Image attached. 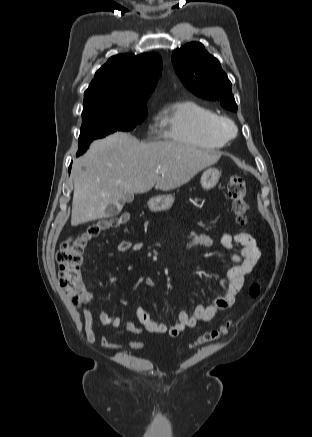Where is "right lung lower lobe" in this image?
Listing matches in <instances>:
<instances>
[{"label": "right lung lower lobe", "mask_w": 312, "mask_h": 437, "mask_svg": "<svg viewBox=\"0 0 312 437\" xmlns=\"http://www.w3.org/2000/svg\"><path fill=\"white\" fill-rule=\"evenodd\" d=\"M71 170V166L69 167V171Z\"/></svg>", "instance_id": "right-lung-lower-lobe-1"}]
</instances>
